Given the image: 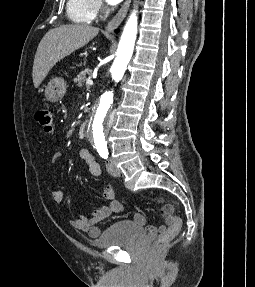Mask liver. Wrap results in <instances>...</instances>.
Returning a JSON list of instances; mask_svg holds the SVG:
<instances>
[{"label":"liver","instance_id":"1","mask_svg":"<svg viewBox=\"0 0 255 287\" xmlns=\"http://www.w3.org/2000/svg\"><path fill=\"white\" fill-rule=\"evenodd\" d=\"M97 34L99 28H93L88 24H69L49 30L42 38L35 54L32 72L34 88L40 86L57 62L63 60L65 56H70L75 50L83 48Z\"/></svg>","mask_w":255,"mask_h":287}]
</instances>
